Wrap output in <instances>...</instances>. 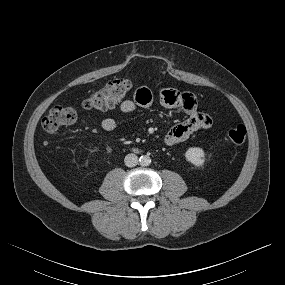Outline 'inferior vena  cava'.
Listing matches in <instances>:
<instances>
[{"label": "inferior vena cava", "mask_w": 285, "mask_h": 285, "mask_svg": "<svg viewBox=\"0 0 285 285\" xmlns=\"http://www.w3.org/2000/svg\"><path fill=\"white\" fill-rule=\"evenodd\" d=\"M125 165L128 167H134L138 164V157L135 154H128L124 159Z\"/></svg>", "instance_id": "602c4592"}]
</instances>
